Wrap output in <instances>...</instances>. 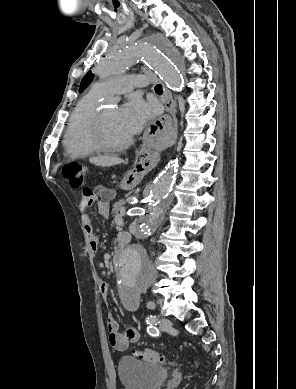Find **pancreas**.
Instances as JSON below:
<instances>
[{"instance_id": "pancreas-1", "label": "pancreas", "mask_w": 296, "mask_h": 389, "mask_svg": "<svg viewBox=\"0 0 296 389\" xmlns=\"http://www.w3.org/2000/svg\"><path fill=\"white\" fill-rule=\"evenodd\" d=\"M125 204H126V201L124 199H121L118 202H116L113 206L112 214L115 216L116 215H123L125 213Z\"/></svg>"}]
</instances>
